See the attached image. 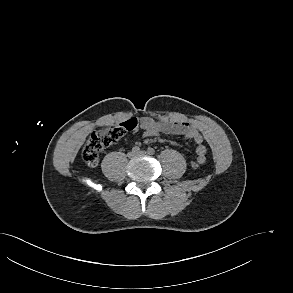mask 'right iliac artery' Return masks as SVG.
Here are the masks:
<instances>
[{
    "instance_id": "1",
    "label": "right iliac artery",
    "mask_w": 293,
    "mask_h": 293,
    "mask_svg": "<svg viewBox=\"0 0 293 293\" xmlns=\"http://www.w3.org/2000/svg\"><path fill=\"white\" fill-rule=\"evenodd\" d=\"M132 151L138 153V152L140 151L139 146H134V147L132 148Z\"/></svg>"
}]
</instances>
